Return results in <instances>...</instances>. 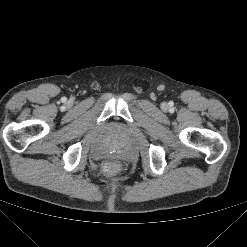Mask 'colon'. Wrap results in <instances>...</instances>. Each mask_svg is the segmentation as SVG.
Here are the masks:
<instances>
[{"label": "colon", "mask_w": 247, "mask_h": 247, "mask_svg": "<svg viewBox=\"0 0 247 247\" xmlns=\"http://www.w3.org/2000/svg\"><path fill=\"white\" fill-rule=\"evenodd\" d=\"M119 170V164L115 161H108L103 165V171L106 174H114Z\"/></svg>", "instance_id": "obj_1"}]
</instances>
